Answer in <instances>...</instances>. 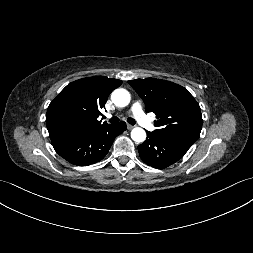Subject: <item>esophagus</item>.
I'll return each instance as SVG.
<instances>
[{"instance_id":"esophagus-1","label":"esophagus","mask_w":253,"mask_h":253,"mask_svg":"<svg viewBox=\"0 0 253 253\" xmlns=\"http://www.w3.org/2000/svg\"><path fill=\"white\" fill-rule=\"evenodd\" d=\"M134 127H135V126H133V125L127 124V129H128V130L133 129Z\"/></svg>"}]
</instances>
